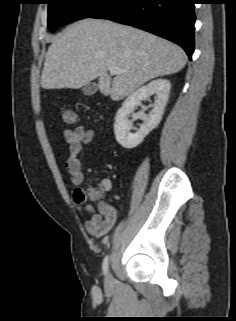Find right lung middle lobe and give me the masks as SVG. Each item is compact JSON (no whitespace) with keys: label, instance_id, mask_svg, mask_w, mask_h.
I'll list each match as a JSON object with an SVG mask.
<instances>
[{"label":"right lung middle lobe","instance_id":"right-lung-middle-lobe-1","mask_svg":"<svg viewBox=\"0 0 236 321\" xmlns=\"http://www.w3.org/2000/svg\"><path fill=\"white\" fill-rule=\"evenodd\" d=\"M111 0H47L48 28L54 32L61 25L90 17Z\"/></svg>","mask_w":236,"mask_h":321}]
</instances>
